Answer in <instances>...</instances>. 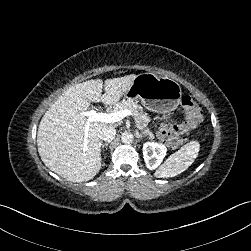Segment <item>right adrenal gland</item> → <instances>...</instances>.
<instances>
[{"label": "right adrenal gland", "mask_w": 251, "mask_h": 251, "mask_svg": "<svg viewBox=\"0 0 251 251\" xmlns=\"http://www.w3.org/2000/svg\"><path fill=\"white\" fill-rule=\"evenodd\" d=\"M107 147H108V143L102 144V149L105 148L107 150ZM104 159H106V156H104Z\"/></svg>", "instance_id": "right-adrenal-gland-1"}]
</instances>
